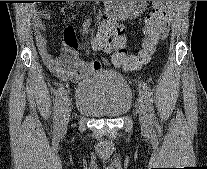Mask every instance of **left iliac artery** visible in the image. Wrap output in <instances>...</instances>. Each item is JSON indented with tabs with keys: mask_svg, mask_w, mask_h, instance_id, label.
Returning <instances> with one entry per match:
<instances>
[{
	"mask_svg": "<svg viewBox=\"0 0 207 169\" xmlns=\"http://www.w3.org/2000/svg\"><path fill=\"white\" fill-rule=\"evenodd\" d=\"M140 93L144 98L146 109L148 112V118L150 122L155 121L154 107H153V92L145 82L139 83Z\"/></svg>",
	"mask_w": 207,
	"mask_h": 169,
	"instance_id": "1",
	"label": "left iliac artery"
}]
</instances>
